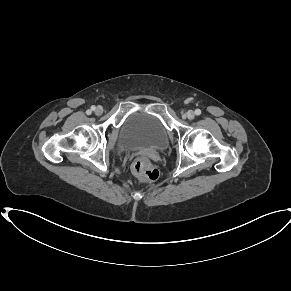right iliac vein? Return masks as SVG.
<instances>
[{"label": "right iliac vein", "mask_w": 291, "mask_h": 291, "mask_svg": "<svg viewBox=\"0 0 291 291\" xmlns=\"http://www.w3.org/2000/svg\"><path fill=\"white\" fill-rule=\"evenodd\" d=\"M94 112L96 115H101L103 112V109H102V107L98 106L95 108Z\"/></svg>", "instance_id": "1"}]
</instances>
